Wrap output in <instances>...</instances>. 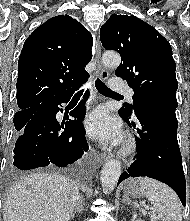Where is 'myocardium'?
Listing matches in <instances>:
<instances>
[{
  "mask_svg": "<svg viewBox=\"0 0 190 221\" xmlns=\"http://www.w3.org/2000/svg\"><path fill=\"white\" fill-rule=\"evenodd\" d=\"M135 149V144L131 139H125L119 149V154L122 156L130 155Z\"/></svg>",
  "mask_w": 190,
  "mask_h": 221,
  "instance_id": "myocardium-1",
  "label": "myocardium"
}]
</instances>
